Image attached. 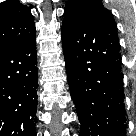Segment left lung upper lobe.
I'll list each match as a JSON object with an SVG mask.
<instances>
[{
	"mask_svg": "<svg viewBox=\"0 0 136 136\" xmlns=\"http://www.w3.org/2000/svg\"><path fill=\"white\" fill-rule=\"evenodd\" d=\"M63 21L78 23L102 21L115 25L112 14L105 9L100 0H68Z\"/></svg>",
	"mask_w": 136,
	"mask_h": 136,
	"instance_id": "left-lung-upper-lobe-1",
	"label": "left lung upper lobe"
}]
</instances>
